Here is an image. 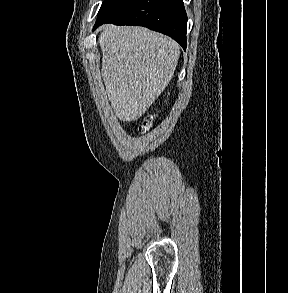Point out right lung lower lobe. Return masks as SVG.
Segmentation results:
<instances>
[{"label": "right lung lower lobe", "instance_id": "right-lung-lower-lobe-1", "mask_svg": "<svg viewBox=\"0 0 288 293\" xmlns=\"http://www.w3.org/2000/svg\"><path fill=\"white\" fill-rule=\"evenodd\" d=\"M139 25L173 38L186 49L187 15L183 0H128L102 24Z\"/></svg>", "mask_w": 288, "mask_h": 293}]
</instances>
